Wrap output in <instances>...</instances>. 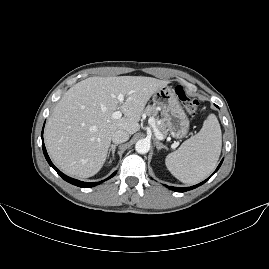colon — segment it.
<instances>
[{"label": "colon", "mask_w": 269, "mask_h": 269, "mask_svg": "<svg viewBox=\"0 0 269 269\" xmlns=\"http://www.w3.org/2000/svg\"><path fill=\"white\" fill-rule=\"evenodd\" d=\"M176 92L186 112L190 116H196L198 114V109L200 106L199 100L187 95V93L181 86H178L176 88Z\"/></svg>", "instance_id": "colon-1"}]
</instances>
